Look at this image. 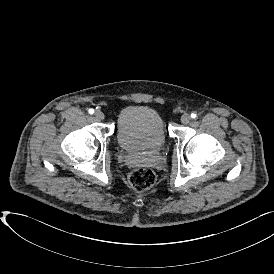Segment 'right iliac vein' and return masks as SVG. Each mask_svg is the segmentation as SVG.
Here are the masks:
<instances>
[{
	"mask_svg": "<svg viewBox=\"0 0 274 274\" xmlns=\"http://www.w3.org/2000/svg\"><path fill=\"white\" fill-rule=\"evenodd\" d=\"M94 117L97 121H101L104 119L105 115L102 111L100 110H97L95 113H94Z\"/></svg>",
	"mask_w": 274,
	"mask_h": 274,
	"instance_id": "1",
	"label": "right iliac vein"
}]
</instances>
